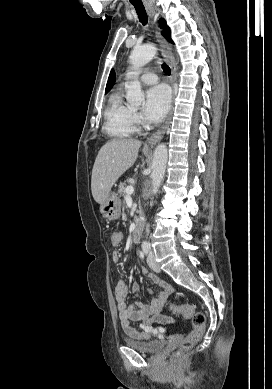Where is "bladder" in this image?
Segmentation results:
<instances>
[{
    "mask_svg": "<svg viewBox=\"0 0 272 389\" xmlns=\"http://www.w3.org/2000/svg\"><path fill=\"white\" fill-rule=\"evenodd\" d=\"M124 341L128 347L146 354H157L165 348V342L162 340L136 341L126 338Z\"/></svg>",
    "mask_w": 272,
    "mask_h": 389,
    "instance_id": "bladder-1",
    "label": "bladder"
}]
</instances>
